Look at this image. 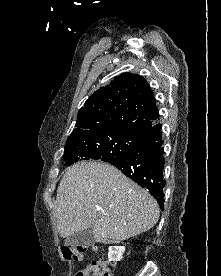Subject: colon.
Wrapping results in <instances>:
<instances>
[{"instance_id": "obj_1", "label": "colon", "mask_w": 221, "mask_h": 276, "mask_svg": "<svg viewBox=\"0 0 221 276\" xmlns=\"http://www.w3.org/2000/svg\"><path fill=\"white\" fill-rule=\"evenodd\" d=\"M87 250L85 246H65L62 248V255L67 261L77 262ZM112 264L104 260H94L84 269L77 272L76 276H111Z\"/></svg>"}]
</instances>
